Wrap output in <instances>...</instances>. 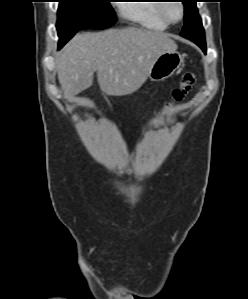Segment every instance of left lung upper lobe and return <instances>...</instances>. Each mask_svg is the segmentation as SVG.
Listing matches in <instances>:
<instances>
[{"mask_svg":"<svg viewBox=\"0 0 248 299\" xmlns=\"http://www.w3.org/2000/svg\"><path fill=\"white\" fill-rule=\"evenodd\" d=\"M185 6L184 27L180 35L195 42L203 51L206 50L205 32L196 7L197 0H181Z\"/></svg>","mask_w":248,"mask_h":299,"instance_id":"1","label":"left lung upper lobe"}]
</instances>
